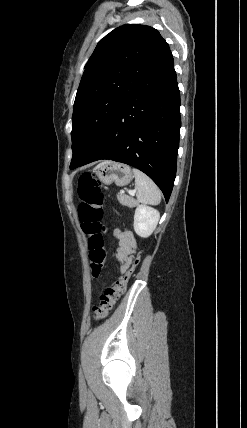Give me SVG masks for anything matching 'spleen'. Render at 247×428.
I'll return each instance as SVG.
<instances>
[{
    "label": "spleen",
    "instance_id": "3e777b00",
    "mask_svg": "<svg viewBox=\"0 0 247 428\" xmlns=\"http://www.w3.org/2000/svg\"><path fill=\"white\" fill-rule=\"evenodd\" d=\"M137 200L144 204L157 205L161 201V192L157 185L143 172L133 169Z\"/></svg>",
    "mask_w": 247,
    "mask_h": 428
}]
</instances>
